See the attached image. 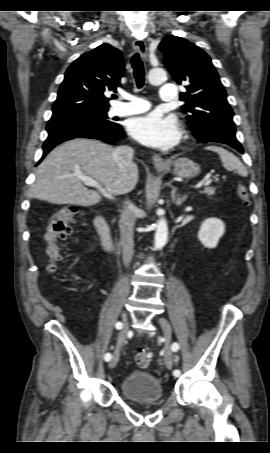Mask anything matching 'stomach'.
<instances>
[{
	"label": "stomach",
	"mask_w": 270,
	"mask_h": 453,
	"mask_svg": "<svg viewBox=\"0 0 270 453\" xmlns=\"http://www.w3.org/2000/svg\"><path fill=\"white\" fill-rule=\"evenodd\" d=\"M171 166L172 173L182 178H193L200 173V166L188 158H179ZM160 172H169L170 169L158 168Z\"/></svg>",
	"instance_id": "0dacf381"
}]
</instances>
